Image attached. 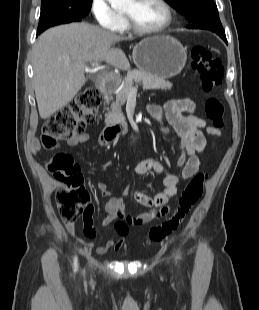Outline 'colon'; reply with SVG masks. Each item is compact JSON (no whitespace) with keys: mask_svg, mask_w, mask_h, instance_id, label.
<instances>
[{"mask_svg":"<svg viewBox=\"0 0 259 310\" xmlns=\"http://www.w3.org/2000/svg\"><path fill=\"white\" fill-rule=\"evenodd\" d=\"M192 68L200 76L202 88L211 93L223 78L224 70L219 58L204 46L195 45L190 49ZM101 102L99 91L93 87L84 89L74 101L47 120L43 127L42 143L47 149H55L61 140H68L83 134L85 128L98 118ZM205 113L216 130L224 126V106L217 98L210 96L205 102ZM49 168L56 179L64 184L56 194L58 213L64 224L73 225L86 211L92 208L91 197L83 185L80 167L67 153H56L49 161ZM205 173H197L181 191L173 214L162 223L153 226L147 235V243L155 244L174 233L186 218L193 205L200 198ZM117 233L125 237L129 229L124 221L115 223Z\"/></svg>","mask_w":259,"mask_h":310,"instance_id":"1","label":"colon"}]
</instances>
